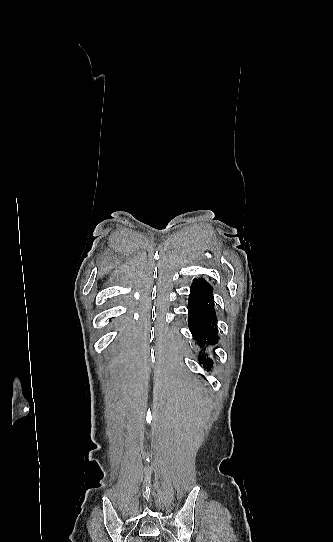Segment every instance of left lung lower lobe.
Segmentation results:
<instances>
[{
  "label": "left lung lower lobe",
  "instance_id": "0a47b994",
  "mask_svg": "<svg viewBox=\"0 0 333 542\" xmlns=\"http://www.w3.org/2000/svg\"><path fill=\"white\" fill-rule=\"evenodd\" d=\"M213 287L203 278L194 279L188 300V326L193 338L201 347L218 342L217 319L213 309ZM203 366L210 370L212 361L206 355L199 356Z\"/></svg>",
  "mask_w": 333,
  "mask_h": 542
}]
</instances>
